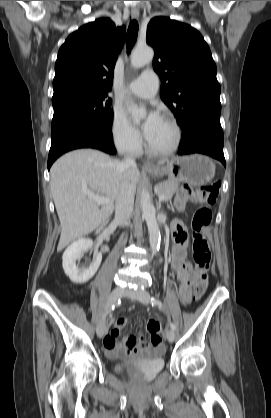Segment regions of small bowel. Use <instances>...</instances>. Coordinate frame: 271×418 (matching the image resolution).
<instances>
[{
    "label": "small bowel",
    "instance_id": "1",
    "mask_svg": "<svg viewBox=\"0 0 271 418\" xmlns=\"http://www.w3.org/2000/svg\"><path fill=\"white\" fill-rule=\"evenodd\" d=\"M171 230L174 240L172 268L180 282L178 294L183 303H188L192 298V285L196 279L195 274L186 262L188 235L186 227L177 219L172 221ZM127 322L128 320L124 317L116 319L111 330L105 334L104 349L109 357L115 358L121 355H141L148 354L151 351L155 353L164 351V346L161 342L157 344L152 343L151 340L147 342L142 335L136 337L133 333L126 334L122 342H117V337L121 329L127 325ZM159 331L156 333L157 335H159Z\"/></svg>",
    "mask_w": 271,
    "mask_h": 418
}]
</instances>
